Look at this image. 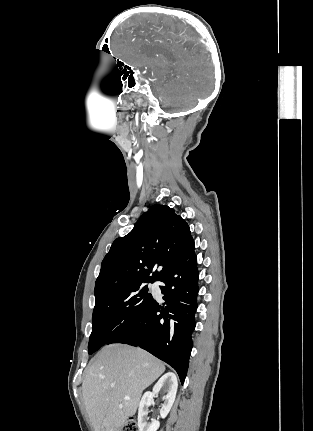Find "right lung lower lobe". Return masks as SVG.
<instances>
[{"label":"right lung lower lobe","mask_w":313,"mask_h":431,"mask_svg":"<svg viewBox=\"0 0 313 431\" xmlns=\"http://www.w3.org/2000/svg\"><path fill=\"white\" fill-rule=\"evenodd\" d=\"M197 257L192 240L182 257L160 280L165 302L152 299L139 315L107 344L139 346L172 366L184 382L192 349L198 294Z\"/></svg>","instance_id":"obj_1"}]
</instances>
